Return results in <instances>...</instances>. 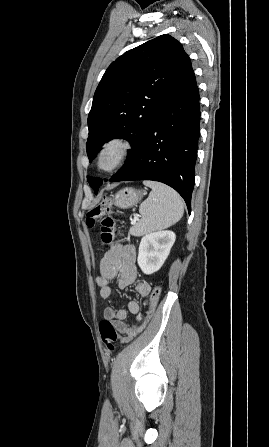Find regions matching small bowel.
Wrapping results in <instances>:
<instances>
[{
  "label": "small bowel",
  "instance_id": "obj_1",
  "mask_svg": "<svg viewBox=\"0 0 269 447\" xmlns=\"http://www.w3.org/2000/svg\"><path fill=\"white\" fill-rule=\"evenodd\" d=\"M135 248L128 245H121L119 243L113 245L104 255L100 262V271L96 277V283L100 287V296L103 299H110L113 295L111 287L112 282H116L118 288L125 289L134 284L136 293L146 298L151 292V286L148 282L143 280H136L137 268ZM136 314L139 312V303L135 300H130L127 303V309L114 310L106 308L103 311L105 319L113 322V327L118 328L121 332L127 330L124 320L128 313Z\"/></svg>",
  "mask_w": 269,
  "mask_h": 447
}]
</instances>
